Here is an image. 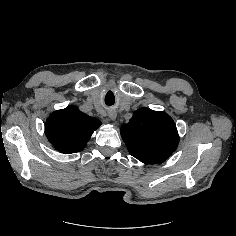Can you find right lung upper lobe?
Here are the masks:
<instances>
[{
	"instance_id": "cb5924a9",
	"label": "right lung upper lobe",
	"mask_w": 236,
	"mask_h": 236,
	"mask_svg": "<svg viewBox=\"0 0 236 236\" xmlns=\"http://www.w3.org/2000/svg\"><path fill=\"white\" fill-rule=\"evenodd\" d=\"M100 125L97 118L88 116L76 106H68L50 114L45 123V133L58 151L70 154L83 150Z\"/></svg>"
}]
</instances>
